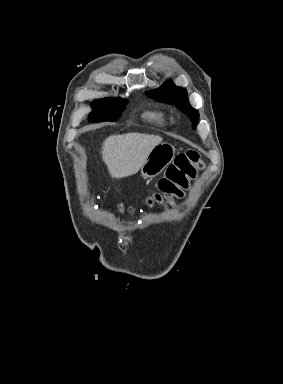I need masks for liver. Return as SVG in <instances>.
I'll return each instance as SVG.
<instances>
[{
  "mask_svg": "<svg viewBox=\"0 0 283 384\" xmlns=\"http://www.w3.org/2000/svg\"><path fill=\"white\" fill-rule=\"evenodd\" d=\"M163 138L150 134L110 136L102 146V158L111 178H127L137 174L148 154Z\"/></svg>",
  "mask_w": 283,
  "mask_h": 384,
  "instance_id": "1",
  "label": "liver"
}]
</instances>
